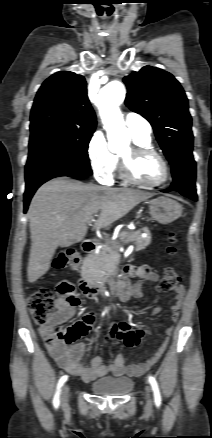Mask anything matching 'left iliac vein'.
<instances>
[{
	"label": "left iliac vein",
	"mask_w": 212,
	"mask_h": 438,
	"mask_svg": "<svg viewBox=\"0 0 212 438\" xmlns=\"http://www.w3.org/2000/svg\"><path fill=\"white\" fill-rule=\"evenodd\" d=\"M145 392H146L147 406L151 407L152 406V397H151V388H150V386L147 385L145 387Z\"/></svg>",
	"instance_id": "4c4485c4"
}]
</instances>
